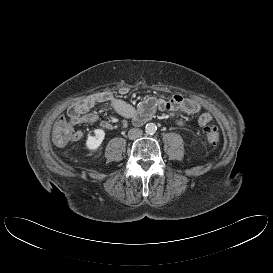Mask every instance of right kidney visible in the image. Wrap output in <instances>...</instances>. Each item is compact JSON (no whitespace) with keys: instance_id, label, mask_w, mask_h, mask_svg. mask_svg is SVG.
I'll return each mask as SVG.
<instances>
[{"instance_id":"1","label":"right kidney","mask_w":273,"mask_h":273,"mask_svg":"<svg viewBox=\"0 0 273 273\" xmlns=\"http://www.w3.org/2000/svg\"><path fill=\"white\" fill-rule=\"evenodd\" d=\"M105 138V131L103 129L94 130V136L89 135L86 140V146L89 150H97Z\"/></svg>"}]
</instances>
